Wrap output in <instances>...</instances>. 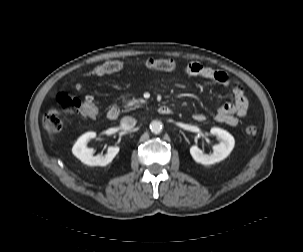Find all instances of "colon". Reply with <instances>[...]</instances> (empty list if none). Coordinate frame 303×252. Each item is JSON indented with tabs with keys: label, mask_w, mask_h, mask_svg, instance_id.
<instances>
[{
	"label": "colon",
	"mask_w": 303,
	"mask_h": 252,
	"mask_svg": "<svg viewBox=\"0 0 303 252\" xmlns=\"http://www.w3.org/2000/svg\"><path fill=\"white\" fill-rule=\"evenodd\" d=\"M130 66L168 72H172L177 69V63L174 60L169 59H147L135 63H126L120 60H110L95 66L87 74H113ZM60 111L75 112L83 116L94 117L97 114V106L90 96H86L83 100H81L66 92L59 93L51 101L50 107L45 115V126L54 133H59L63 129V122L59 118ZM257 132L258 129L255 125L247 126L244 131L246 137L248 138L255 137Z\"/></svg>",
	"instance_id": "colon-1"
}]
</instances>
